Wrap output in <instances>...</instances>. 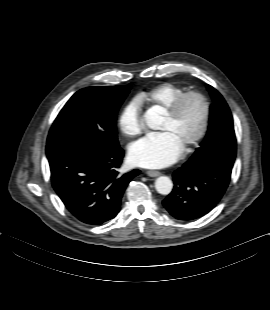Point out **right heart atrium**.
<instances>
[{"label": "right heart atrium", "mask_w": 270, "mask_h": 310, "mask_svg": "<svg viewBox=\"0 0 270 310\" xmlns=\"http://www.w3.org/2000/svg\"><path fill=\"white\" fill-rule=\"evenodd\" d=\"M119 127L127 137H135L143 130L142 106L137 98L124 106L119 117Z\"/></svg>", "instance_id": "1"}]
</instances>
